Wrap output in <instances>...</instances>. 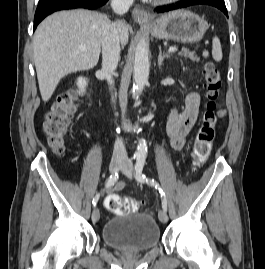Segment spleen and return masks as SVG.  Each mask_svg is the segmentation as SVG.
<instances>
[{
    "mask_svg": "<svg viewBox=\"0 0 265 269\" xmlns=\"http://www.w3.org/2000/svg\"><path fill=\"white\" fill-rule=\"evenodd\" d=\"M212 57L216 62L222 60V48L218 37H214L212 40Z\"/></svg>",
    "mask_w": 265,
    "mask_h": 269,
    "instance_id": "3e777b00",
    "label": "spleen"
}]
</instances>
